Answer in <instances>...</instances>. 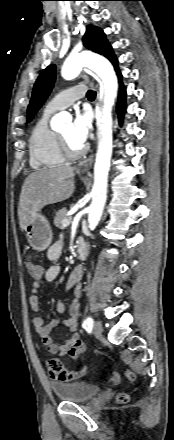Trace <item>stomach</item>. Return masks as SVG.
I'll use <instances>...</instances> for the list:
<instances>
[{
	"label": "stomach",
	"instance_id": "1",
	"mask_svg": "<svg viewBox=\"0 0 174 440\" xmlns=\"http://www.w3.org/2000/svg\"><path fill=\"white\" fill-rule=\"evenodd\" d=\"M26 238L35 251H44L52 241L53 233L49 221L41 214L26 227Z\"/></svg>",
	"mask_w": 174,
	"mask_h": 440
}]
</instances>
